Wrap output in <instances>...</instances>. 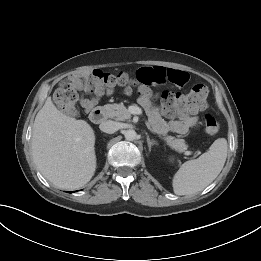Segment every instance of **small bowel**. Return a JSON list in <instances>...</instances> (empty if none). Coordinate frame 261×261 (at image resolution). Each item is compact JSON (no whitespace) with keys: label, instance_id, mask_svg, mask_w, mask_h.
Masks as SVG:
<instances>
[{"label":"small bowel","instance_id":"1","mask_svg":"<svg viewBox=\"0 0 261 261\" xmlns=\"http://www.w3.org/2000/svg\"><path fill=\"white\" fill-rule=\"evenodd\" d=\"M137 77L142 81L140 86L139 103L147 110L152 125L160 132L172 131L181 135L187 134L191 129L198 126V117L195 114H178L169 117L163 109L154 106L150 101L148 86L171 83L176 86H183L189 80V74L185 71L166 68L162 66L142 67L137 71ZM75 80L76 77H72ZM78 87L81 88L80 85ZM130 94V88L125 90ZM80 103L83 108L90 110L97 100L95 98L82 97ZM169 117V119H165Z\"/></svg>","mask_w":261,"mask_h":261}]
</instances>
